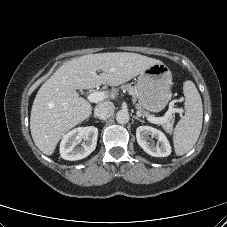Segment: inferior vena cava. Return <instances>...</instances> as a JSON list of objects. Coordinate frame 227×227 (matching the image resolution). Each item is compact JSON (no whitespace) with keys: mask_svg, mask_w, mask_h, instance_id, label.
<instances>
[{"mask_svg":"<svg viewBox=\"0 0 227 227\" xmlns=\"http://www.w3.org/2000/svg\"><path fill=\"white\" fill-rule=\"evenodd\" d=\"M114 105L111 102H103L98 104L95 107V115L97 118L102 119V120H106L108 118H110L112 116V114L114 113Z\"/></svg>","mask_w":227,"mask_h":227,"instance_id":"1","label":"inferior vena cava"}]
</instances>
